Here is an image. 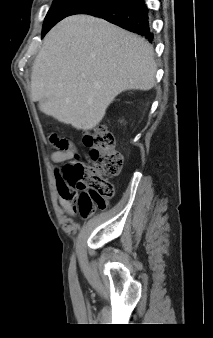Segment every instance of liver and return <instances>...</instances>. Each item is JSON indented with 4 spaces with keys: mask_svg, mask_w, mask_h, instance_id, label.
I'll return each instance as SVG.
<instances>
[{
    "mask_svg": "<svg viewBox=\"0 0 213 338\" xmlns=\"http://www.w3.org/2000/svg\"><path fill=\"white\" fill-rule=\"evenodd\" d=\"M153 56L143 38L103 19L67 17L48 32L34 61L32 100L46 115L91 130L118 94L154 87Z\"/></svg>",
    "mask_w": 213,
    "mask_h": 338,
    "instance_id": "1",
    "label": "liver"
}]
</instances>
